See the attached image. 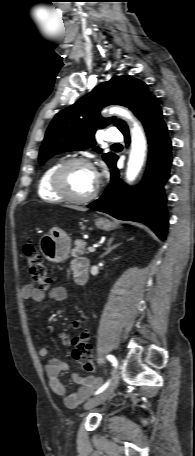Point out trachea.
<instances>
[{
	"label": "trachea",
	"mask_w": 195,
	"mask_h": 456,
	"mask_svg": "<svg viewBox=\"0 0 195 456\" xmlns=\"http://www.w3.org/2000/svg\"><path fill=\"white\" fill-rule=\"evenodd\" d=\"M119 144H114V146H118Z\"/></svg>",
	"instance_id": "1"
}]
</instances>
